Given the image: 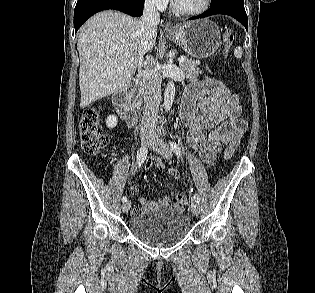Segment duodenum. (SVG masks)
Masks as SVG:
<instances>
[{
    "mask_svg": "<svg viewBox=\"0 0 315 293\" xmlns=\"http://www.w3.org/2000/svg\"><path fill=\"white\" fill-rule=\"evenodd\" d=\"M132 88L125 86L113 95V104L119 116L130 126L138 119L135 105L131 103Z\"/></svg>",
    "mask_w": 315,
    "mask_h": 293,
    "instance_id": "1",
    "label": "duodenum"
}]
</instances>
